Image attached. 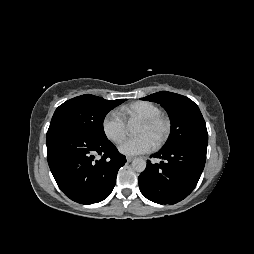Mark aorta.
Returning <instances> with one entry per match:
<instances>
[{"label":"aorta","instance_id":"762f6f07","mask_svg":"<svg viewBox=\"0 0 254 254\" xmlns=\"http://www.w3.org/2000/svg\"><path fill=\"white\" fill-rule=\"evenodd\" d=\"M128 131L130 133H132L134 131L133 126H129ZM147 163L144 159L142 158H136L132 161V168L136 171V172H143L146 169Z\"/></svg>","mask_w":254,"mask_h":254}]
</instances>
